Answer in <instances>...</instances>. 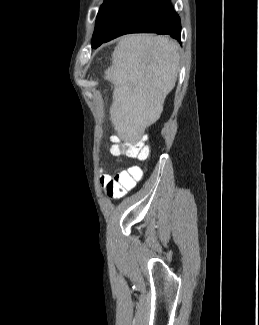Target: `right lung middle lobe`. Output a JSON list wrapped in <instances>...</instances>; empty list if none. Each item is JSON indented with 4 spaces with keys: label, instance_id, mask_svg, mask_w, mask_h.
Segmentation results:
<instances>
[{
    "label": "right lung middle lobe",
    "instance_id": "dd1d6c3e",
    "mask_svg": "<svg viewBox=\"0 0 259 325\" xmlns=\"http://www.w3.org/2000/svg\"><path fill=\"white\" fill-rule=\"evenodd\" d=\"M134 0H105L99 9L92 47L102 43Z\"/></svg>",
    "mask_w": 259,
    "mask_h": 325
}]
</instances>
